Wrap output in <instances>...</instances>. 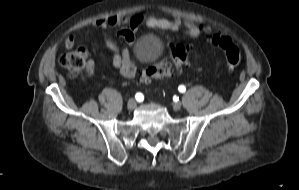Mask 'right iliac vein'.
I'll use <instances>...</instances> for the list:
<instances>
[{
	"label": "right iliac vein",
	"instance_id": "obj_1",
	"mask_svg": "<svg viewBox=\"0 0 299 190\" xmlns=\"http://www.w3.org/2000/svg\"><path fill=\"white\" fill-rule=\"evenodd\" d=\"M127 107L129 110H134L136 107V102L133 99H130L127 103Z\"/></svg>",
	"mask_w": 299,
	"mask_h": 190
}]
</instances>
